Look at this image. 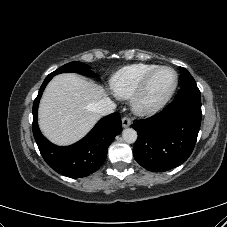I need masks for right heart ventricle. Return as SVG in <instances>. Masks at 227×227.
I'll return each mask as SVG.
<instances>
[{"label":"right heart ventricle","mask_w":227,"mask_h":227,"mask_svg":"<svg viewBox=\"0 0 227 227\" xmlns=\"http://www.w3.org/2000/svg\"><path fill=\"white\" fill-rule=\"evenodd\" d=\"M158 66L147 63L124 66L109 79L110 90L118 98H131L145 76Z\"/></svg>","instance_id":"e07e8e85"}]
</instances>
